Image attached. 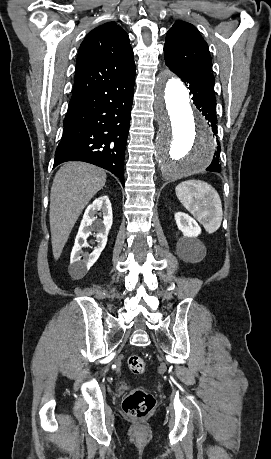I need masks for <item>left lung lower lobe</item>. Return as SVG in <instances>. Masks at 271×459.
I'll use <instances>...</instances> for the list:
<instances>
[{
  "mask_svg": "<svg viewBox=\"0 0 271 459\" xmlns=\"http://www.w3.org/2000/svg\"><path fill=\"white\" fill-rule=\"evenodd\" d=\"M182 81L189 86L190 94L193 95L192 99L197 109L202 112L205 119L210 122L214 136L217 137V117H216V98L214 94V76L213 74L203 75H190L183 73H176ZM217 141L216 151L207 171L221 172L220 166V152L221 147Z\"/></svg>",
  "mask_w": 271,
  "mask_h": 459,
  "instance_id": "obj_1",
  "label": "left lung lower lobe"
}]
</instances>
